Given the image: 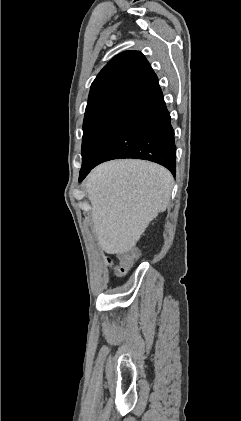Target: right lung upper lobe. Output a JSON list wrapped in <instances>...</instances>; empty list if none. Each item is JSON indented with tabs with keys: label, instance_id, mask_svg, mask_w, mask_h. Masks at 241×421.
<instances>
[{
	"label": "right lung upper lobe",
	"instance_id": "right-lung-upper-lobe-1",
	"mask_svg": "<svg viewBox=\"0 0 241 421\" xmlns=\"http://www.w3.org/2000/svg\"><path fill=\"white\" fill-rule=\"evenodd\" d=\"M158 81L139 51H125L113 57L93 81L85 114L122 102H132Z\"/></svg>",
	"mask_w": 241,
	"mask_h": 421
}]
</instances>
